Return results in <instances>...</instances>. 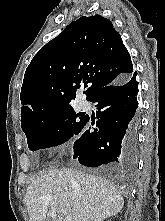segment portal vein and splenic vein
<instances>
[{"instance_id":"obj_1","label":"portal vein and splenic vein","mask_w":165,"mask_h":221,"mask_svg":"<svg viewBox=\"0 0 165 221\" xmlns=\"http://www.w3.org/2000/svg\"><path fill=\"white\" fill-rule=\"evenodd\" d=\"M49 215L51 218H56L57 217V212L55 209H51L50 212H49ZM65 221H72V218L69 217V216H66L65 217Z\"/></svg>"}]
</instances>
